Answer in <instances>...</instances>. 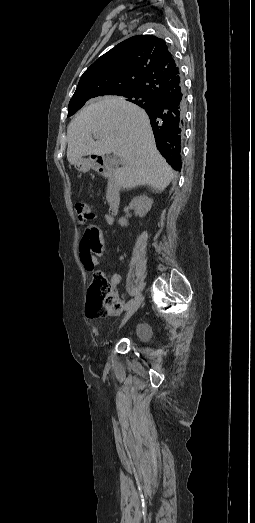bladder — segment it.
<instances>
[{"mask_svg":"<svg viewBox=\"0 0 255 523\" xmlns=\"http://www.w3.org/2000/svg\"><path fill=\"white\" fill-rule=\"evenodd\" d=\"M150 323H142L140 324L135 332V337L139 339H148L151 336L150 333Z\"/></svg>","mask_w":255,"mask_h":523,"instance_id":"31cf9c89","label":"bladder"}]
</instances>
